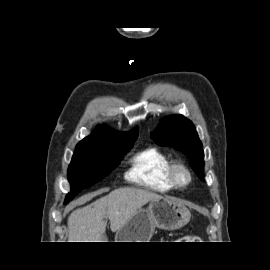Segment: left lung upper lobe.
Segmentation results:
<instances>
[{
    "mask_svg": "<svg viewBox=\"0 0 270 270\" xmlns=\"http://www.w3.org/2000/svg\"><path fill=\"white\" fill-rule=\"evenodd\" d=\"M152 139L161 146L183 151L190 159V166L203 178L204 153L202 143L192 122L182 115L164 119L152 133Z\"/></svg>",
    "mask_w": 270,
    "mask_h": 270,
    "instance_id": "5c2ea615",
    "label": "left lung upper lobe"
}]
</instances>
